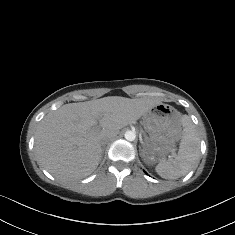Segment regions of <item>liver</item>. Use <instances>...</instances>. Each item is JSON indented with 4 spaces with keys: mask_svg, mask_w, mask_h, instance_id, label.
Wrapping results in <instances>:
<instances>
[{
    "mask_svg": "<svg viewBox=\"0 0 235 235\" xmlns=\"http://www.w3.org/2000/svg\"><path fill=\"white\" fill-rule=\"evenodd\" d=\"M160 102L156 97H105L66 104L48 113L34 133L39 167L63 182L87 177L101 160V140L116 136ZM96 119L100 131L91 129Z\"/></svg>",
    "mask_w": 235,
    "mask_h": 235,
    "instance_id": "6515ba94",
    "label": "liver"
}]
</instances>
